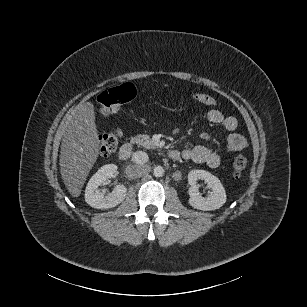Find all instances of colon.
<instances>
[{"instance_id": "5ec220e1", "label": "colon", "mask_w": 307, "mask_h": 307, "mask_svg": "<svg viewBox=\"0 0 307 307\" xmlns=\"http://www.w3.org/2000/svg\"><path fill=\"white\" fill-rule=\"evenodd\" d=\"M136 94L135 87L129 83H124L102 92L98 97L99 114L101 116H109L115 113L121 105L132 102ZM188 96L197 103L208 106L216 105L215 98L208 94L189 92ZM121 136L122 134L119 130L101 135L99 138L100 155L102 157L110 156L117 149ZM246 165L247 160L245 156L238 154L233 161V177L236 179L240 178L245 171Z\"/></svg>"}]
</instances>
